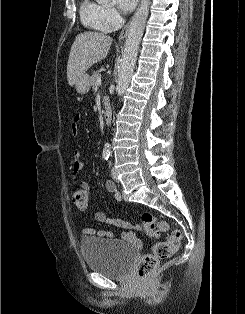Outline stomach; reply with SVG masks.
<instances>
[{
  "mask_svg": "<svg viewBox=\"0 0 245 314\" xmlns=\"http://www.w3.org/2000/svg\"><path fill=\"white\" fill-rule=\"evenodd\" d=\"M89 75L83 74L81 77H79L75 83V88L77 93L79 94H86L90 90V83H89Z\"/></svg>",
  "mask_w": 245,
  "mask_h": 314,
  "instance_id": "0dacf381",
  "label": "stomach"
}]
</instances>
